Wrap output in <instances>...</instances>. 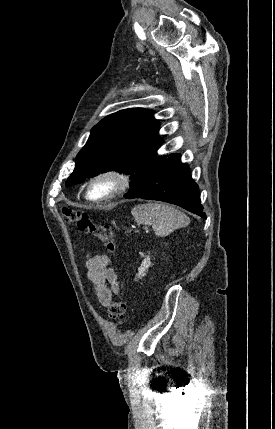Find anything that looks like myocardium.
<instances>
[{
  "mask_svg": "<svg viewBox=\"0 0 275 429\" xmlns=\"http://www.w3.org/2000/svg\"><path fill=\"white\" fill-rule=\"evenodd\" d=\"M101 179H109L112 181L113 186L111 190L104 196L93 198L91 196V188L93 184ZM130 185V177L128 173L120 168H108L95 173L88 181L85 196L94 203L108 202L121 194H123Z\"/></svg>",
  "mask_w": 275,
  "mask_h": 429,
  "instance_id": "obj_1",
  "label": "myocardium"
}]
</instances>
